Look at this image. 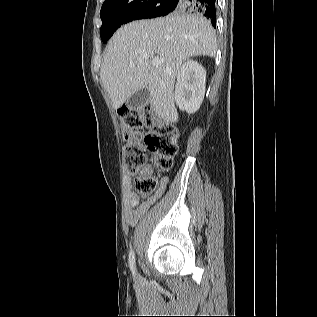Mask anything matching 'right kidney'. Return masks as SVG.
Listing matches in <instances>:
<instances>
[{"instance_id":"obj_1","label":"right kidney","mask_w":317,"mask_h":317,"mask_svg":"<svg viewBox=\"0 0 317 317\" xmlns=\"http://www.w3.org/2000/svg\"><path fill=\"white\" fill-rule=\"evenodd\" d=\"M206 71L201 64L188 60L177 73L175 101L180 110L197 111L205 95Z\"/></svg>"}]
</instances>
